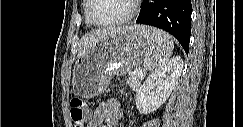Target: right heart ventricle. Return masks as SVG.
Returning <instances> with one entry per match:
<instances>
[{
    "label": "right heart ventricle",
    "instance_id": "right-heart-ventricle-1",
    "mask_svg": "<svg viewBox=\"0 0 243 127\" xmlns=\"http://www.w3.org/2000/svg\"><path fill=\"white\" fill-rule=\"evenodd\" d=\"M87 7H88V0L84 1L83 4V12H84V18H85V23L87 26H91V23L89 22L88 18H87Z\"/></svg>",
    "mask_w": 243,
    "mask_h": 127
}]
</instances>
